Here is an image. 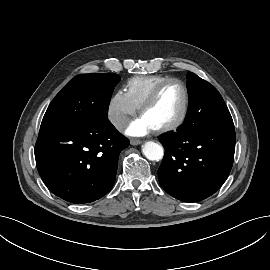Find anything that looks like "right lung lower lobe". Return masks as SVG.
Returning <instances> with one entry per match:
<instances>
[{
	"label": "right lung lower lobe",
	"instance_id": "1",
	"mask_svg": "<svg viewBox=\"0 0 270 270\" xmlns=\"http://www.w3.org/2000/svg\"><path fill=\"white\" fill-rule=\"evenodd\" d=\"M128 145L108 119H101L43 125L34 151L38 172L53 194L71 203H90L112 188L119 154Z\"/></svg>",
	"mask_w": 270,
	"mask_h": 270
}]
</instances>
